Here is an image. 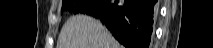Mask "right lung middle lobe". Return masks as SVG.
<instances>
[{"label":"right lung middle lobe","instance_id":"right-lung-middle-lobe-1","mask_svg":"<svg viewBox=\"0 0 213 48\" xmlns=\"http://www.w3.org/2000/svg\"><path fill=\"white\" fill-rule=\"evenodd\" d=\"M92 1L93 0H64L61 13H63L65 10L73 12L74 14L84 13Z\"/></svg>","mask_w":213,"mask_h":48}]
</instances>
